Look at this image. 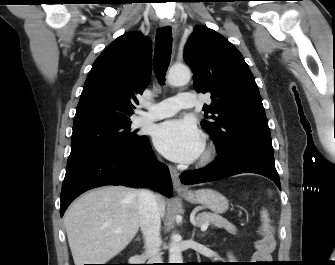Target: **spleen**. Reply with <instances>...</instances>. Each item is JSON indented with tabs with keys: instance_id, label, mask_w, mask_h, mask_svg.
Instances as JSON below:
<instances>
[{
	"instance_id": "obj_1",
	"label": "spleen",
	"mask_w": 335,
	"mask_h": 265,
	"mask_svg": "<svg viewBox=\"0 0 335 265\" xmlns=\"http://www.w3.org/2000/svg\"><path fill=\"white\" fill-rule=\"evenodd\" d=\"M261 217H262L263 220H267L268 219V215H267V212L265 210L262 211Z\"/></svg>"
}]
</instances>
